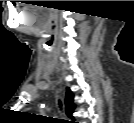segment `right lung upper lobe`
Listing matches in <instances>:
<instances>
[{
    "label": "right lung upper lobe",
    "mask_w": 134,
    "mask_h": 123,
    "mask_svg": "<svg viewBox=\"0 0 134 123\" xmlns=\"http://www.w3.org/2000/svg\"><path fill=\"white\" fill-rule=\"evenodd\" d=\"M65 106H66V114L69 118L74 119L72 116L73 110L75 105L73 103V94L70 89H67L66 99H65Z\"/></svg>",
    "instance_id": "obj_1"
}]
</instances>
